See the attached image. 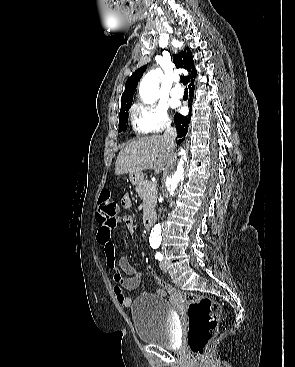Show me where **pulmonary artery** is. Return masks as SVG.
Returning a JSON list of instances; mask_svg holds the SVG:
<instances>
[{
	"label": "pulmonary artery",
	"mask_w": 295,
	"mask_h": 367,
	"mask_svg": "<svg viewBox=\"0 0 295 367\" xmlns=\"http://www.w3.org/2000/svg\"><path fill=\"white\" fill-rule=\"evenodd\" d=\"M171 96L175 99H180L183 96V91L179 86L174 87L171 90Z\"/></svg>",
	"instance_id": "1"
}]
</instances>
